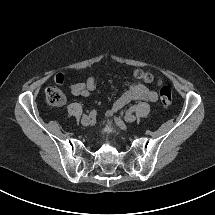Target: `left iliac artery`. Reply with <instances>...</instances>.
<instances>
[{
	"label": "left iliac artery",
	"instance_id": "left-iliac-artery-1",
	"mask_svg": "<svg viewBox=\"0 0 215 215\" xmlns=\"http://www.w3.org/2000/svg\"><path fill=\"white\" fill-rule=\"evenodd\" d=\"M137 110V106L136 105H133L132 107H130L128 110H127V112L128 113H132V112H134V111H136Z\"/></svg>",
	"mask_w": 215,
	"mask_h": 215
}]
</instances>
